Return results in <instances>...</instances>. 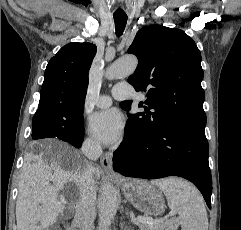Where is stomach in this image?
<instances>
[{"label": "stomach", "instance_id": "obj_1", "mask_svg": "<svg viewBox=\"0 0 241 230\" xmlns=\"http://www.w3.org/2000/svg\"><path fill=\"white\" fill-rule=\"evenodd\" d=\"M121 189L126 199L145 215L157 216L165 211L162 193L147 181H124Z\"/></svg>", "mask_w": 241, "mask_h": 230}]
</instances>
